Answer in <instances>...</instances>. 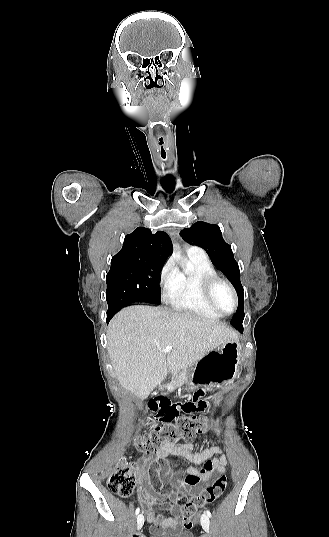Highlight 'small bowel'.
Segmentation results:
<instances>
[{
    "instance_id": "obj_1",
    "label": "small bowel",
    "mask_w": 329,
    "mask_h": 537,
    "mask_svg": "<svg viewBox=\"0 0 329 537\" xmlns=\"http://www.w3.org/2000/svg\"><path fill=\"white\" fill-rule=\"evenodd\" d=\"M200 388H203V385H200ZM204 398L206 390L196 389L195 395L185 398L182 403H165L157 409L156 421L170 424L176 421L179 412L195 414L198 410L204 411L208 404ZM217 454L221 455L216 457ZM172 458H183L195 465L203 463V467L197 469L194 466H182L179 462L172 461ZM153 463L157 464L155 473L161 474L158 488L154 487L148 474V467ZM132 466L140 483L138 502L151 524V532L178 531L183 528V521L180 519L181 507L188 501L189 496L227 471V457L219 446L195 450L189 443H164L155 457L145 456L139 464ZM166 484L173 490H166ZM156 506L168 511L170 515L152 512Z\"/></svg>"
}]
</instances>
